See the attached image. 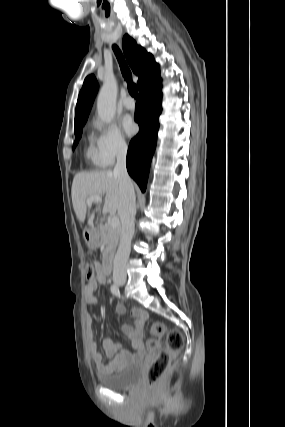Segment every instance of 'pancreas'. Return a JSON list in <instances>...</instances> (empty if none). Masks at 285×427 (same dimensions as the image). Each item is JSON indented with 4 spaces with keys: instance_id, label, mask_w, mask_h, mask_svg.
Listing matches in <instances>:
<instances>
[{
    "instance_id": "cf45deb5",
    "label": "pancreas",
    "mask_w": 285,
    "mask_h": 427,
    "mask_svg": "<svg viewBox=\"0 0 285 427\" xmlns=\"http://www.w3.org/2000/svg\"><path fill=\"white\" fill-rule=\"evenodd\" d=\"M121 233L120 226L111 227L107 222L101 223L99 226V234L103 245L107 249L115 250Z\"/></svg>"
}]
</instances>
